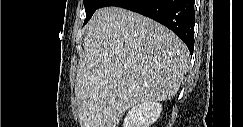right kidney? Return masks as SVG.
<instances>
[{
	"mask_svg": "<svg viewBox=\"0 0 243 127\" xmlns=\"http://www.w3.org/2000/svg\"><path fill=\"white\" fill-rule=\"evenodd\" d=\"M162 104L155 101L139 103L128 111L124 127H150L160 116Z\"/></svg>",
	"mask_w": 243,
	"mask_h": 127,
	"instance_id": "ca27d5eb",
	"label": "right kidney"
}]
</instances>
